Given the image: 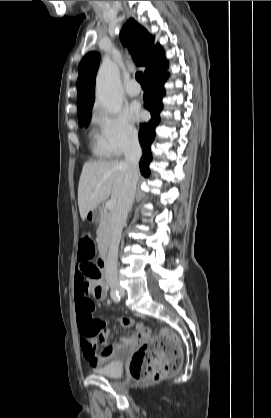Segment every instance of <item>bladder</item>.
I'll return each mask as SVG.
<instances>
[{
  "label": "bladder",
  "instance_id": "31cf9c89",
  "mask_svg": "<svg viewBox=\"0 0 271 418\" xmlns=\"http://www.w3.org/2000/svg\"><path fill=\"white\" fill-rule=\"evenodd\" d=\"M95 374L107 377V378H119L123 373V362L121 360H112L100 367H96Z\"/></svg>",
  "mask_w": 271,
  "mask_h": 418
}]
</instances>
